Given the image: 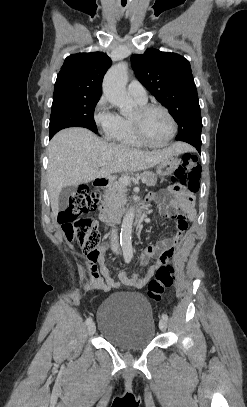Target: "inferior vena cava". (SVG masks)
Returning a JSON list of instances; mask_svg holds the SVG:
<instances>
[{"mask_svg": "<svg viewBox=\"0 0 247 407\" xmlns=\"http://www.w3.org/2000/svg\"><path fill=\"white\" fill-rule=\"evenodd\" d=\"M111 249L116 254L119 253L118 236H117V232L115 230H113L111 233Z\"/></svg>", "mask_w": 247, "mask_h": 407, "instance_id": "602c4592", "label": "inferior vena cava"}]
</instances>
